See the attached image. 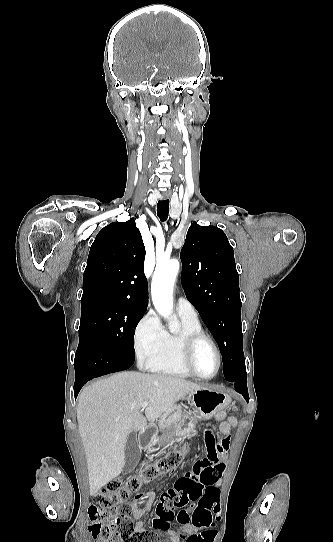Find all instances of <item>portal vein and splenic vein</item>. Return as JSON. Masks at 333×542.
Listing matches in <instances>:
<instances>
[{
	"label": "portal vein and splenic vein",
	"mask_w": 333,
	"mask_h": 542,
	"mask_svg": "<svg viewBox=\"0 0 333 542\" xmlns=\"http://www.w3.org/2000/svg\"><path fill=\"white\" fill-rule=\"evenodd\" d=\"M147 406H148V402H143V404L141 406L142 412H143V410H145V408H147ZM118 420H119V418H118ZM118 420H117V422H118Z\"/></svg>",
	"instance_id": "1"
}]
</instances>
